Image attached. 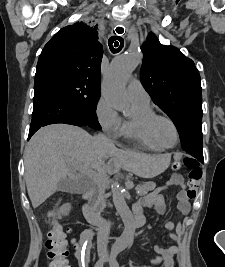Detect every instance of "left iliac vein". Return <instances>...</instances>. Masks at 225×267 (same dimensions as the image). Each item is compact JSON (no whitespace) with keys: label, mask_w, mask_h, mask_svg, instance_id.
I'll list each match as a JSON object with an SVG mask.
<instances>
[{"label":"left iliac vein","mask_w":225,"mask_h":267,"mask_svg":"<svg viewBox=\"0 0 225 267\" xmlns=\"http://www.w3.org/2000/svg\"><path fill=\"white\" fill-rule=\"evenodd\" d=\"M104 261L105 262H109V258L107 257V254L106 253L104 254Z\"/></svg>","instance_id":"obj_1"}]
</instances>
